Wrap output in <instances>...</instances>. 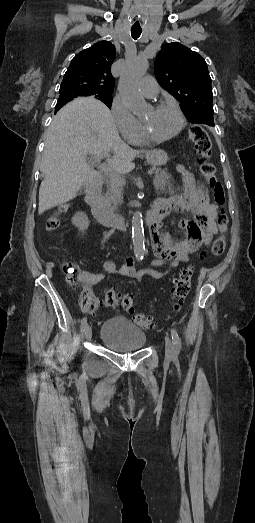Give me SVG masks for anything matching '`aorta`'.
Listing matches in <instances>:
<instances>
[{"mask_svg":"<svg viewBox=\"0 0 255 523\" xmlns=\"http://www.w3.org/2000/svg\"><path fill=\"white\" fill-rule=\"evenodd\" d=\"M148 69V61L136 58L127 63L119 81V92L125 105L134 114H141L146 109V102L140 93L139 83ZM144 228L142 213L136 211L132 217V241L135 257L143 259L145 254Z\"/></svg>","mask_w":255,"mask_h":523,"instance_id":"762f6f07","label":"aorta"}]
</instances>
